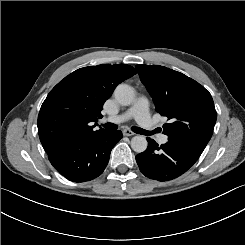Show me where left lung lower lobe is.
<instances>
[{"mask_svg": "<svg viewBox=\"0 0 245 245\" xmlns=\"http://www.w3.org/2000/svg\"><path fill=\"white\" fill-rule=\"evenodd\" d=\"M147 141V149L135 158L140 171L146 177L158 181H169L181 176L202 154L199 150L187 148L171 139L161 146L149 137Z\"/></svg>", "mask_w": 245, "mask_h": 245, "instance_id": "1", "label": "left lung lower lobe"}]
</instances>
